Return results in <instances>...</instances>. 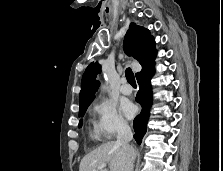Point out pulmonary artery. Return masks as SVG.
<instances>
[{
	"instance_id": "e3ab8cb5",
	"label": "pulmonary artery",
	"mask_w": 223,
	"mask_h": 171,
	"mask_svg": "<svg viewBox=\"0 0 223 171\" xmlns=\"http://www.w3.org/2000/svg\"><path fill=\"white\" fill-rule=\"evenodd\" d=\"M120 92L123 95H130L132 93V87L127 83L125 78L121 81Z\"/></svg>"
}]
</instances>
